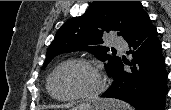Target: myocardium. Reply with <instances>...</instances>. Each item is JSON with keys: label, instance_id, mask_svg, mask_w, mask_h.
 Here are the masks:
<instances>
[{"label": "myocardium", "instance_id": "f54148a6", "mask_svg": "<svg viewBox=\"0 0 171 110\" xmlns=\"http://www.w3.org/2000/svg\"><path fill=\"white\" fill-rule=\"evenodd\" d=\"M70 64H78V65H83L91 69L95 75L98 78V85L95 90L88 92V93H80V94H74L70 96H58L53 92L52 89V82L53 78L56 75V73L63 68L66 65ZM107 86V81L106 77L102 73V71L94 65L92 62L85 60V59H79V58H74V59H68L66 61L61 62L55 69L51 72V74L48 77L47 80V90L49 94L56 100L58 101H74V100H93L98 98L106 89Z\"/></svg>", "mask_w": 171, "mask_h": 110}]
</instances>
